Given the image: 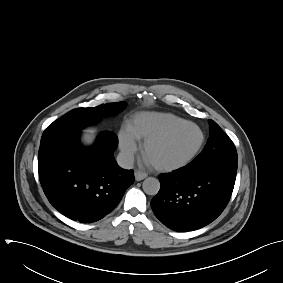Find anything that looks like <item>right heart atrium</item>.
Returning <instances> with one entry per match:
<instances>
[{
    "label": "right heart atrium",
    "mask_w": 283,
    "mask_h": 283,
    "mask_svg": "<svg viewBox=\"0 0 283 283\" xmlns=\"http://www.w3.org/2000/svg\"><path fill=\"white\" fill-rule=\"evenodd\" d=\"M118 142L122 154L128 159L131 158L136 151V143L125 130L119 132Z\"/></svg>",
    "instance_id": "1"
}]
</instances>
